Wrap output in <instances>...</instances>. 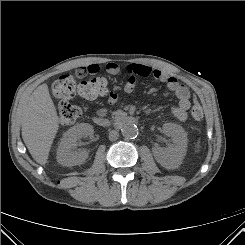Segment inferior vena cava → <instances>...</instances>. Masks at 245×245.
I'll return each mask as SVG.
<instances>
[{
  "label": "inferior vena cava",
  "instance_id": "1",
  "mask_svg": "<svg viewBox=\"0 0 245 245\" xmlns=\"http://www.w3.org/2000/svg\"><path fill=\"white\" fill-rule=\"evenodd\" d=\"M118 137H119V133H118L117 130H111V131L109 132V139H110L111 141L118 139Z\"/></svg>",
  "mask_w": 245,
  "mask_h": 245
}]
</instances>
